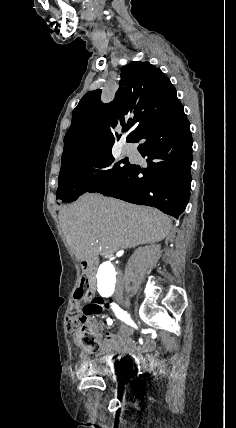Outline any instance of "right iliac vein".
I'll return each mask as SVG.
<instances>
[{"label": "right iliac vein", "mask_w": 236, "mask_h": 428, "mask_svg": "<svg viewBox=\"0 0 236 428\" xmlns=\"http://www.w3.org/2000/svg\"><path fill=\"white\" fill-rule=\"evenodd\" d=\"M117 300L120 304H125L126 303V296L124 294H119L117 296ZM129 332L127 333L129 336L132 334L131 332L133 331L131 328L128 330Z\"/></svg>", "instance_id": "63e3f726"}]
</instances>
